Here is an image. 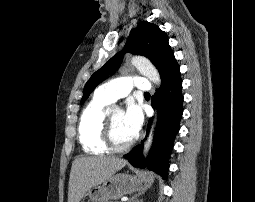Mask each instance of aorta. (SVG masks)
<instances>
[{
    "instance_id": "1",
    "label": "aorta",
    "mask_w": 255,
    "mask_h": 202,
    "mask_svg": "<svg viewBox=\"0 0 255 202\" xmlns=\"http://www.w3.org/2000/svg\"><path fill=\"white\" fill-rule=\"evenodd\" d=\"M131 63L133 66L136 67V69L142 75L147 77L150 81H152L158 87L161 85V78H160L159 72L148 59H146L145 57H141V56H135L131 59ZM114 111L118 112V111H120V109L115 106ZM155 125H156V118L154 119V122L152 124V128H151L149 137L144 144V150H143L144 154H146L151 147Z\"/></svg>"
}]
</instances>
